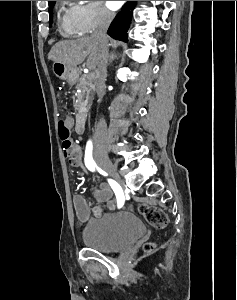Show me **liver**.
<instances>
[{"label":"liver","instance_id":"obj_1","mask_svg":"<svg viewBox=\"0 0 237 300\" xmlns=\"http://www.w3.org/2000/svg\"><path fill=\"white\" fill-rule=\"evenodd\" d=\"M100 45L94 37H81L76 41H59L52 47L48 59L58 61L67 67H77L87 57L88 69H95L99 65Z\"/></svg>","mask_w":237,"mask_h":300}]
</instances>
